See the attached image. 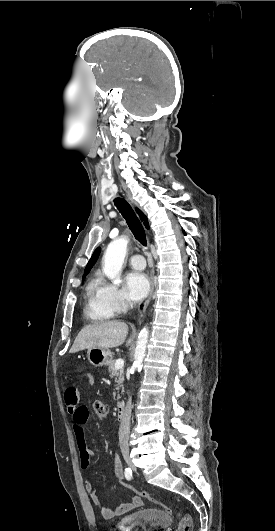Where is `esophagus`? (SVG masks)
Returning a JSON list of instances; mask_svg holds the SVG:
<instances>
[{
	"label": "esophagus",
	"instance_id": "1",
	"mask_svg": "<svg viewBox=\"0 0 275 531\" xmlns=\"http://www.w3.org/2000/svg\"><path fill=\"white\" fill-rule=\"evenodd\" d=\"M153 292H154V278H153V273L151 274L150 276V292H149V295L146 299V301L144 302V308L143 309H146L151 298H152V295H153Z\"/></svg>",
	"mask_w": 275,
	"mask_h": 531
}]
</instances>
